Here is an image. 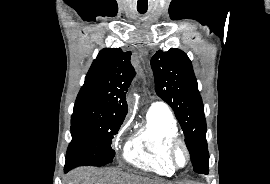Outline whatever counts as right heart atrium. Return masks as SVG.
Wrapping results in <instances>:
<instances>
[{
  "instance_id": "1",
  "label": "right heart atrium",
  "mask_w": 270,
  "mask_h": 184,
  "mask_svg": "<svg viewBox=\"0 0 270 184\" xmlns=\"http://www.w3.org/2000/svg\"><path fill=\"white\" fill-rule=\"evenodd\" d=\"M127 124H128V119H126V120L123 122V124H122V126H121V130L124 129V128L126 127Z\"/></svg>"
}]
</instances>
